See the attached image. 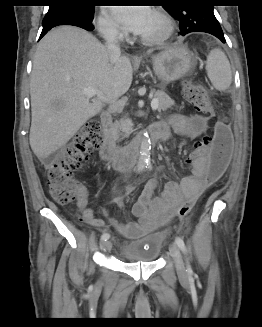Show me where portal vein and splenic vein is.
<instances>
[{
    "label": "portal vein and splenic vein",
    "mask_w": 262,
    "mask_h": 327,
    "mask_svg": "<svg viewBox=\"0 0 262 327\" xmlns=\"http://www.w3.org/2000/svg\"><path fill=\"white\" fill-rule=\"evenodd\" d=\"M83 94L86 95L87 97H93L95 95H98V90L95 88H85L83 90ZM112 103H114V101H111ZM159 106V101L158 99L154 98L151 101V107L152 110H156Z\"/></svg>",
    "instance_id": "portal-vein-and-splenic-vein-1"
}]
</instances>
